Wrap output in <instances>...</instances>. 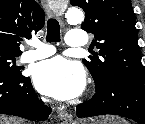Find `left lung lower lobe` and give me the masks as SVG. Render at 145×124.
Here are the masks:
<instances>
[{
    "instance_id": "1",
    "label": "left lung lower lobe",
    "mask_w": 145,
    "mask_h": 124,
    "mask_svg": "<svg viewBox=\"0 0 145 124\" xmlns=\"http://www.w3.org/2000/svg\"><path fill=\"white\" fill-rule=\"evenodd\" d=\"M76 110L80 118L113 114L145 124L144 82L126 77L115 78L96 90L94 96L78 105Z\"/></svg>"
}]
</instances>
